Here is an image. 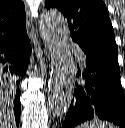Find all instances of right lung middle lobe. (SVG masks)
<instances>
[{
	"mask_svg": "<svg viewBox=\"0 0 125 128\" xmlns=\"http://www.w3.org/2000/svg\"><path fill=\"white\" fill-rule=\"evenodd\" d=\"M0 76L5 79V81H7L8 83H11L13 82L14 78L7 75V74H4L3 72H0Z\"/></svg>",
	"mask_w": 125,
	"mask_h": 128,
	"instance_id": "obj_1",
	"label": "right lung middle lobe"
}]
</instances>
